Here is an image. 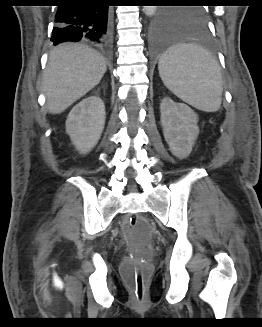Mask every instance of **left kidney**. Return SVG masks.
<instances>
[{"instance_id": "obj_1", "label": "left kidney", "mask_w": 262, "mask_h": 327, "mask_svg": "<svg viewBox=\"0 0 262 327\" xmlns=\"http://www.w3.org/2000/svg\"><path fill=\"white\" fill-rule=\"evenodd\" d=\"M161 124L165 141L179 159L189 156L199 134L196 113L184 103L165 97L160 105Z\"/></svg>"}]
</instances>
